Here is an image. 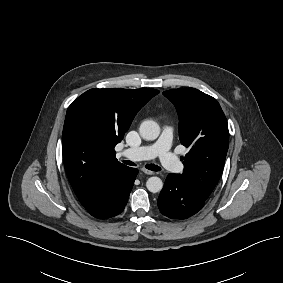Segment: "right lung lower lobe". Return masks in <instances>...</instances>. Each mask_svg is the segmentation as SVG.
<instances>
[{"label": "right lung lower lobe", "instance_id": "obj_1", "mask_svg": "<svg viewBox=\"0 0 283 283\" xmlns=\"http://www.w3.org/2000/svg\"><path fill=\"white\" fill-rule=\"evenodd\" d=\"M137 174L136 168L127 166L110 174L102 180L96 197L85 209L98 219L120 214L127 204Z\"/></svg>", "mask_w": 283, "mask_h": 283}]
</instances>
